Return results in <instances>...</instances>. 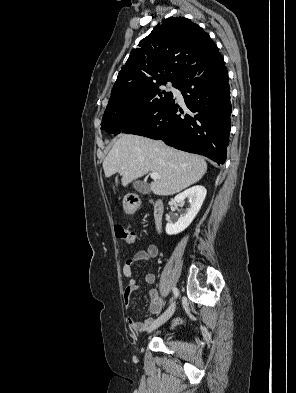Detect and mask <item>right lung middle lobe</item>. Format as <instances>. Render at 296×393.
Returning a JSON list of instances; mask_svg holds the SVG:
<instances>
[{"label": "right lung middle lobe", "instance_id": "obj_1", "mask_svg": "<svg viewBox=\"0 0 296 393\" xmlns=\"http://www.w3.org/2000/svg\"><path fill=\"white\" fill-rule=\"evenodd\" d=\"M166 82L125 100L109 102L104 112L101 128L109 133L119 134L122 130L147 118L168 103L173 94L162 89ZM175 83L172 86L175 87Z\"/></svg>", "mask_w": 296, "mask_h": 393}]
</instances>
